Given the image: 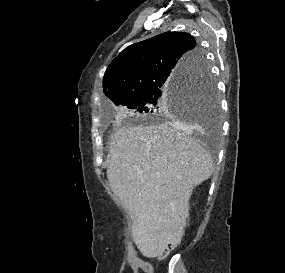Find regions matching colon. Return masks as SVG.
<instances>
[{"instance_id":"obj_1","label":"colon","mask_w":285,"mask_h":273,"mask_svg":"<svg viewBox=\"0 0 285 273\" xmlns=\"http://www.w3.org/2000/svg\"><path fill=\"white\" fill-rule=\"evenodd\" d=\"M173 247H174V244H171V245L169 246V248H168V249H166V250L161 254V257L166 256V255H167V253H168V251H169L170 249H172Z\"/></svg>"}]
</instances>
